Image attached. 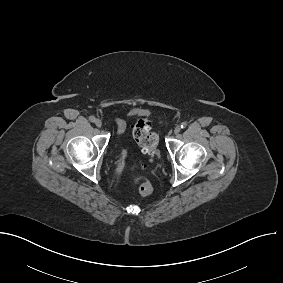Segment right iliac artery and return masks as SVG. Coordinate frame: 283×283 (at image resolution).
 I'll return each instance as SVG.
<instances>
[{
  "mask_svg": "<svg viewBox=\"0 0 283 283\" xmlns=\"http://www.w3.org/2000/svg\"><path fill=\"white\" fill-rule=\"evenodd\" d=\"M89 120H90L91 122H95V121H96V118H95L94 116H90V117H89Z\"/></svg>",
  "mask_w": 283,
  "mask_h": 283,
  "instance_id": "right-iliac-artery-1",
  "label": "right iliac artery"
}]
</instances>
